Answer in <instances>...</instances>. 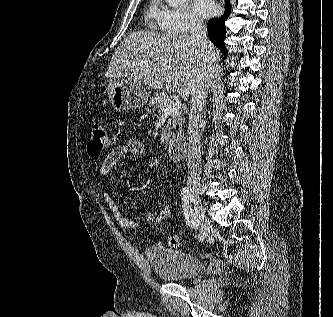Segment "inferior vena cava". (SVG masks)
<instances>
[{
	"label": "inferior vena cava",
	"instance_id": "602c4592",
	"mask_svg": "<svg viewBox=\"0 0 333 317\" xmlns=\"http://www.w3.org/2000/svg\"><path fill=\"white\" fill-rule=\"evenodd\" d=\"M190 33L192 40L207 54L204 60V71L199 75L192 92L188 122V186L193 189H199L201 174L199 120L211 83L215 59L213 58L211 43L207 37L206 27L200 22H193L190 27Z\"/></svg>",
	"mask_w": 333,
	"mask_h": 317
}]
</instances>
